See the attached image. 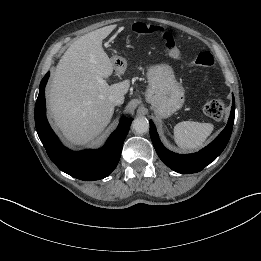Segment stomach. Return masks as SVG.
Listing matches in <instances>:
<instances>
[{"label":"stomach","mask_w":261,"mask_h":261,"mask_svg":"<svg viewBox=\"0 0 261 261\" xmlns=\"http://www.w3.org/2000/svg\"><path fill=\"white\" fill-rule=\"evenodd\" d=\"M114 61L117 71L126 66V61L122 57H116ZM146 77L149 83L146 101L151 104L156 116L167 118L183 106L184 91L169 64L148 66Z\"/></svg>","instance_id":"0dacf381"}]
</instances>
